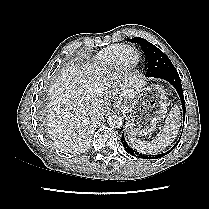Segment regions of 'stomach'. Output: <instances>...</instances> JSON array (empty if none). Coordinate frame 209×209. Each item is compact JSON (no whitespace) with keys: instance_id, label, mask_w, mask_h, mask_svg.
<instances>
[{"instance_id":"0dacf381","label":"stomach","mask_w":209,"mask_h":209,"mask_svg":"<svg viewBox=\"0 0 209 209\" xmlns=\"http://www.w3.org/2000/svg\"><path fill=\"white\" fill-rule=\"evenodd\" d=\"M168 105L162 86L154 84L141 89L134 100L121 106L126 114V131L131 136L151 133L166 113Z\"/></svg>"}]
</instances>
